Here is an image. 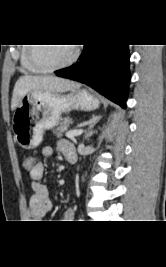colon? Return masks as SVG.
Wrapping results in <instances>:
<instances>
[{
	"mask_svg": "<svg viewBox=\"0 0 166 267\" xmlns=\"http://www.w3.org/2000/svg\"><path fill=\"white\" fill-rule=\"evenodd\" d=\"M35 163V158L32 156L26 157L23 161V165L26 170H31L34 167Z\"/></svg>",
	"mask_w": 166,
	"mask_h": 267,
	"instance_id": "5ec220e1",
	"label": "colon"
}]
</instances>
